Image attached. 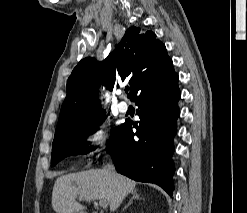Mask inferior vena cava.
I'll return each mask as SVG.
<instances>
[{"instance_id":"inferior-vena-cava-1","label":"inferior vena cava","mask_w":247,"mask_h":213,"mask_svg":"<svg viewBox=\"0 0 247 213\" xmlns=\"http://www.w3.org/2000/svg\"><path fill=\"white\" fill-rule=\"evenodd\" d=\"M112 174H115V167L113 164H109L107 168Z\"/></svg>"}]
</instances>
